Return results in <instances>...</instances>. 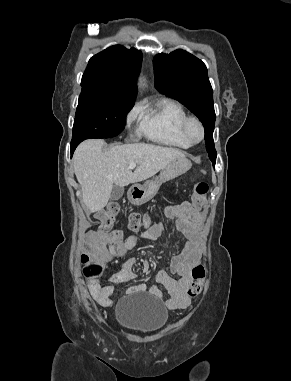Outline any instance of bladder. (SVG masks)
I'll use <instances>...</instances> for the list:
<instances>
[{
	"instance_id": "31cf9c89",
	"label": "bladder",
	"mask_w": 291,
	"mask_h": 381,
	"mask_svg": "<svg viewBox=\"0 0 291 381\" xmlns=\"http://www.w3.org/2000/svg\"><path fill=\"white\" fill-rule=\"evenodd\" d=\"M169 313L164 305L147 293H134L123 297L115 308L117 324L137 334H152L167 323Z\"/></svg>"
}]
</instances>
